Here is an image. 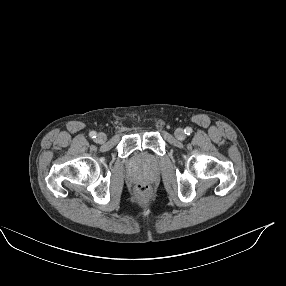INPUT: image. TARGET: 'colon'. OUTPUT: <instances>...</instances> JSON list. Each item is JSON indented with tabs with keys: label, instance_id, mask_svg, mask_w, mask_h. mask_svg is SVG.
Returning a JSON list of instances; mask_svg holds the SVG:
<instances>
[{
	"label": "colon",
	"instance_id": "colon-1",
	"mask_svg": "<svg viewBox=\"0 0 286 286\" xmlns=\"http://www.w3.org/2000/svg\"><path fill=\"white\" fill-rule=\"evenodd\" d=\"M136 193L140 198H146L150 194V188L145 183H140L136 186Z\"/></svg>",
	"mask_w": 286,
	"mask_h": 286
}]
</instances>
